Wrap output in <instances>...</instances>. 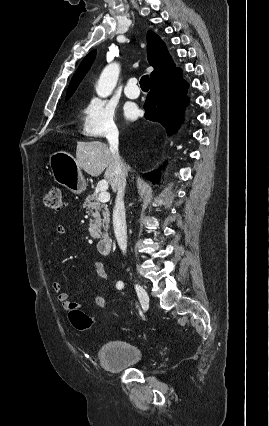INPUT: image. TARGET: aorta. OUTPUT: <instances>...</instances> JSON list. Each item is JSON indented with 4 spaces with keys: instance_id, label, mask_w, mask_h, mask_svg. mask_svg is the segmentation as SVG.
<instances>
[{
    "instance_id": "aorta-1",
    "label": "aorta",
    "mask_w": 269,
    "mask_h": 426,
    "mask_svg": "<svg viewBox=\"0 0 269 426\" xmlns=\"http://www.w3.org/2000/svg\"><path fill=\"white\" fill-rule=\"evenodd\" d=\"M119 71V65L116 63L108 65L103 70L96 86V92L100 97L108 96L115 88L118 81Z\"/></svg>"
}]
</instances>
